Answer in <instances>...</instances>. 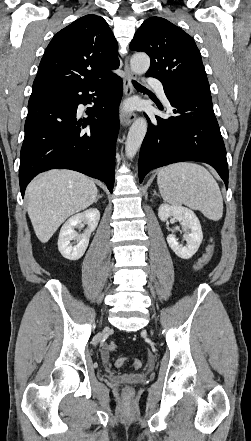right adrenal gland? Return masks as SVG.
Wrapping results in <instances>:
<instances>
[{"instance_id":"obj_1","label":"right adrenal gland","mask_w":251,"mask_h":441,"mask_svg":"<svg viewBox=\"0 0 251 441\" xmlns=\"http://www.w3.org/2000/svg\"><path fill=\"white\" fill-rule=\"evenodd\" d=\"M100 198H102V196L99 194L98 197H97L96 200H95V203H97V201H98Z\"/></svg>"}]
</instances>
